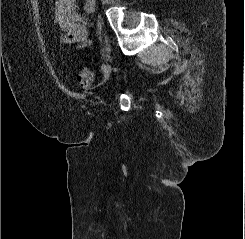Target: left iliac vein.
I'll list each match as a JSON object with an SVG mask.
<instances>
[{"instance_id": "1", "label": "left iliac vein", "mask_w": 245, "mask_h": 239, "mask_svg": "<svg viewBox=\"0 0 245 239\" xmlns=\"http://www.w3.org/2000/svg\"><path fill=\"white\" fill-rule=\"evenodd\" d=\"M111 70H112L111 65L107 64L105 66V69H104V78H105V80L109 78V76L111 74Z\"/></svg>"}]
</instances>
